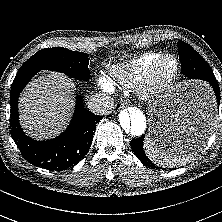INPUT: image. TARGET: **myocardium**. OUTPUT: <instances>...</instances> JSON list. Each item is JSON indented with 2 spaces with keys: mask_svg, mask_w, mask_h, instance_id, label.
<instances>
[{
  "mask_svg": "<svg viewBox=\"0 0 222 222\" xmlns=\"http://www.w3.org/2000/svg\"><path fill=\"white\" fill-rule=\"evenodd\" d=\"M173 60L174 68L167 76L159 74V67L167 60ZM180 70L178 59L172 54H162L150 66L145 78L141 81L140 94L145 98L156 96L167 89L177 78Z\"/></svg>",
  "mask_w": 222,
  "mask_h": 222,
  "instance_id": "1",
  "label": "myocardium"
}]
</instances>
